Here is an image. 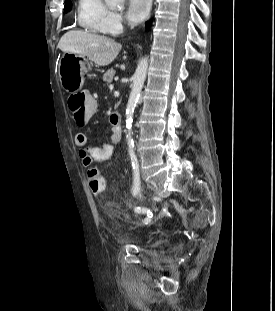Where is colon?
I'll return each instance as SVG.
<instances>
[{"instance_id":"1","label":"colon","mask_w":275,"mask_h":311,"mask_svg":"<svg viewBox=\"0 0 275 311\" xmlns=\"http://www.w3.org/2000/svg\"><path fill=\"white\" fill-rule=\"evenodd\" d=\"M89 92L76 93L68 99V109L75 121V129H86L90 117H96L97 102L90 97ZM111 120V118H110ZM88 183L94 194H104L105 179L97 168H90L87 172Z\"/></svg>"}]
</instances>
